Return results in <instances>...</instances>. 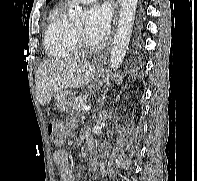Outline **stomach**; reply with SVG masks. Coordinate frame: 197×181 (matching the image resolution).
<instances>
[{
  "label": "stomach",
  "mask_w": 197,
  "mask_h": 181,
  "mask_svg": "<svg viewBox=\"0 0 197 181\" xmlns=\"http://www.w3.org/2000/svg\"><path fill=\"white\" fill-rule=\"evenodd\" d=\"M96 74L98 76H103L105 74V71L101 68H96ZM74 97V93L69 90H62L57 92L55 95L57 108L63 112L70 110Z\"/></svg>",
  "instance_id": "1"
}]
</instances>
